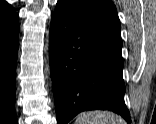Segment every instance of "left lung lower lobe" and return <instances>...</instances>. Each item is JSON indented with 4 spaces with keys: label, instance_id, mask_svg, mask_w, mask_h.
<instances>
[{
    "label": "left lung lower lobe",
    "instance_id": "1",
    "mask_svg": "<svg viewBox=\"0 0 156 124\" xmlns=\"http://www.w3.org/2000/svg\"><path fill=\"white\" fill-rule=\"evenodd\" d=\"M122 40L58 0L51 16L50 66L58 124L85 110H110L131 123L124 103Z\"/></svg>",
    "mask_w": 156,
    "mask_h": 124
}]
</instances>
